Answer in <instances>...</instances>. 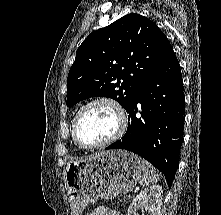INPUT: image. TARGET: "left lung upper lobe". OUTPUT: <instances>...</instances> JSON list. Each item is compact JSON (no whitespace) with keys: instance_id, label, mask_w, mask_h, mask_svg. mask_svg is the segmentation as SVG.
<instances>
[{"instance_id":"1","label":"left lung upper lobe","mask_w":221,"mask_h":215,"mask_svg":"<svg viewBox=\"0 0 221 215\" xmlns=\"http://www.w3.org/2000/svg\"><path fill=\"white\" fill-rule=\"evenodd\" d=\"M170 48L154 22L134 13L91 33L77 49L68 74L67 106L102 96L115 99L127 111Z\"/></svg>"}]
</instances>
